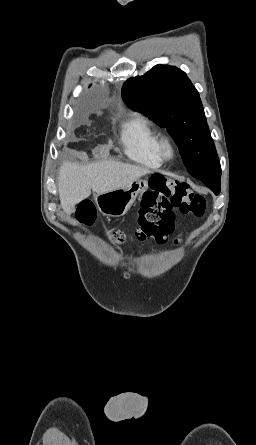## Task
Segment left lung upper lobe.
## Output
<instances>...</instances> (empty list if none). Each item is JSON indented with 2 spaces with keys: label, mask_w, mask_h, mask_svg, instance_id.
<instances>
[{
  "label": "left lung upper lobe",
  "mask_w": 256,
  "mask_h": 445,
  "mask_svg": "<svg viewBox=\"0 0 256 445\" xmlns=\"http://www.w3.org/2000/svg\"><path fill=\"white\" fill-rule=\"evenodd\" d=\"M124 102L167 128L190 174L221 175L199 93L185 72L157 65L123 86Z\"/></svg>",
  "instance_id": "left-lung-upper-lobe-1"
}]
</instances>
